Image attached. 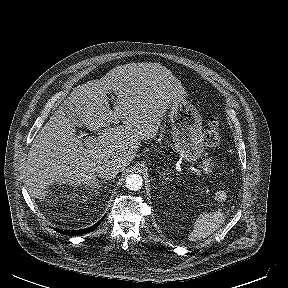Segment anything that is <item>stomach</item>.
Masks as SVG:
<instances>
[{"label": "stomach", "mask_w": 288, "mask_h": 288, "mask_svg": "<svg viewBox=\"0 0 288 288\" xmlns=\"http://www.w3.org/2000/svg\"><path fill=\"white\" fill-rule=\"evenodd\" d=\"M174 149L187 162L203 156L202 118L197 109L183 98L175 99L169 111Z\"/></svg>", "instance_id": "0dacf381"}]
</instances>
